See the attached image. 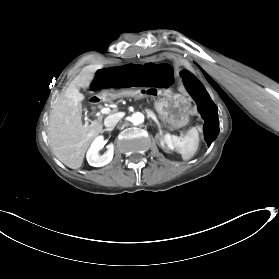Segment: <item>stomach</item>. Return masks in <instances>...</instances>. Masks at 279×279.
I'll return each instance as SVG.
<instances>
[{
	"label": "stomach",
	"instance_id": "0dacf381",
	"mask_svg": "<svg viewBox=\"0 0 279 279\" xmlns=\"http://www.w3.org/2000/svg\"><path fill=\"white\" fill-rule=\"evenodd\" d=\"M159 100L156 101V103ZM155 103L157 115L172 126H182L190 118V112L192 110L191 101L181 95L167 96L161 100L158 104Z\"/></svg>",
	"mask_w": 279,
	"mask_h": 279
}]
</instances>
